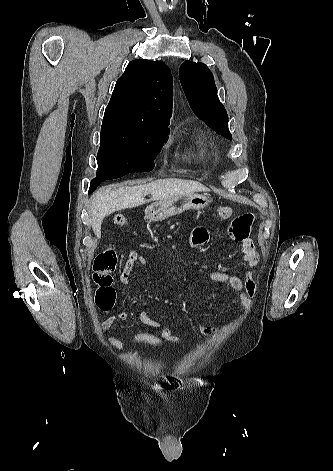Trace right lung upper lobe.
Returning a JSON list of instances; mask_svg holds the SVG:
<instances>
[{"label": "right lung upper lobe", "mask_w": 333, "mask_h": 471, "mask_svg": "<svg viewBox=\"0 0 333 471\" xmlns=\"http://www.w3.org/2000/svg\"><path fill=\"white\" fill-rule=\"evenodd\" d=\"M173 85L162 61H131L117 80L103 120H124L168 126Z\"/></svg>", "instance_id": "obj_1"}]
</instances>
